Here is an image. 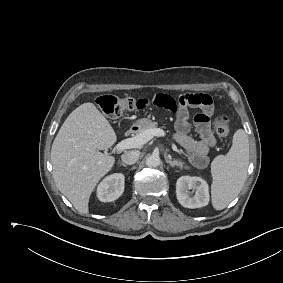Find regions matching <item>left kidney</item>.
<instances>
[{
    "label": "left kidney",
    "instance_id": "obj_1",
    "mask_svg": "<svg viewBox=\"0 0 283 283\" xmlns=\"http://www.w3.org/2000/svg\"><path fill=\"white\" fill-rule=\"evenodd\" d=\"M193 190L195 195L191 197ZM176 195L179 203L186 208H200L209 203V187L200 177L182 176L176 183Z\"/></svg>",
    "mask_w": 283,
    "mask_h": 283
}]
</instances>
